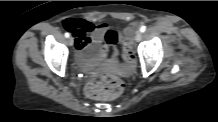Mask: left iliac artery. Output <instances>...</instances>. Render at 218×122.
<instances>
[{"label": "left iliac artery", "mask_w": 218, "mask_h": 122, "mask_svg": "<svg viewBox=\"0 0 218 122\" xmlns=\"http://www.w3.org/2000/svg\"><path fill=\"white\" fill-rule=\"evenodd\" d=\"M145 30H146V26H142V27L140 28V31H141L142 33H144Z\"/></svg>", "instance_id": "44dca946"}]
</instances>
